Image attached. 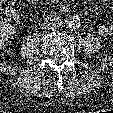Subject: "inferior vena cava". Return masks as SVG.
<instances>
[{"instance_id": "1", "label": "inferior vena cava", "mask_w": 113, "mask_h": 113, "mask_svg": "<svg viewBox=\"0 0 113 113\" xmlns=\"http://www.w3.org/2000/svg\"><path fill=\"white\" fill-rule=\"evenodd\" d=\"M62 24L61 18L55 15H49L44 19L43 26L48 30H55Z\"/></svg>"}]
</instances>
